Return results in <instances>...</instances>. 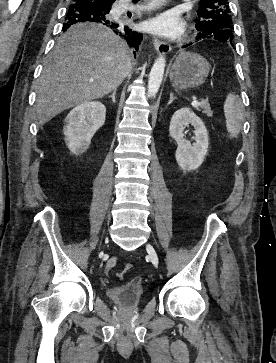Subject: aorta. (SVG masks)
<instances>
[{"instance_id":"762f6f07","label":"aorta","mask_w":276,"mask_h":363,"mask_svg":"<svg viewBox=\"0 0 276 363\" xmlns=\"http://www.w3.org/2000/svg\"><path fill=\"white\" fill-rule=\"evenodd\" d=\"M165 66H166V60L163 56H160L156 59L151 68L148 79V95L150 97H155L160 88L164 75Z\"/></svg>"}]
</instances>
